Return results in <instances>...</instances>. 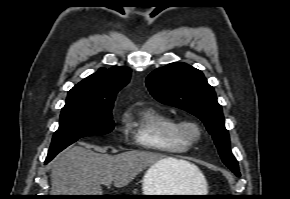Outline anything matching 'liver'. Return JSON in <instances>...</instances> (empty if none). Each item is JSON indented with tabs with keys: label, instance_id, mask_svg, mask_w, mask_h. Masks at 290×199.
Segmentation results:
<instances>
[{
	"label": "liver",
	"instance_id": "liver-1",
	"mask_svg": "<svg viewBox=\"0 0 290 199\" xmlns=\"http://www.w3.org/2000/svg\"><path fill=\"white\" fill-rule=\"evenodd\" d=\"M179 176L178 192L189 191L200 170L185 160L132 150L115 156L99 154L85 146H73L56 156L51 166L52 195H102L101 184L110 181L121 188L142 170L155 164Z\"/></svg>",
	"mask_w": 290,
	"mask_h": 199
}]
</instances>
